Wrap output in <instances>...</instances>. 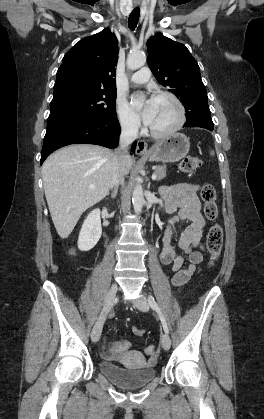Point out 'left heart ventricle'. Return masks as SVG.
I'll list each match as a JSON object with an SVG mask.
<instances>
[{"label":"left heart ventricle","instance_id":"b2bd125f","mask_svg":"<svg viewBox=\"0 0 264 419\" xmlns=\"http://www.w3.org/2000/svg\"><path fill=\"white\" fill-rule=\"evenodd\" d=\"M177 120V109L167 98H155L154 119L150 127L156 131H165Z\"/></svg>","mask_w":264,"mask_h":419}]
</instances>
